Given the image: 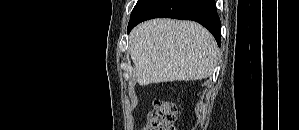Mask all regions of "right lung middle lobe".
Masks as SVG:
<instances>
[{"label": "right lung middle lobe", "instance_id": "1", "mask_svg": "<svg viewBox=\"0 0 299 130\" xmlns=\"http://www.w3.org/2000/svg\"><path fill=\"white\" fill-rule=\"evenodd\" d=\"M148 0H138L137 4L135 5L130 19L134 16V14L147 2Z\"/></svg>", "mask_w": 299, "mask_h": 130}]
</instances>
